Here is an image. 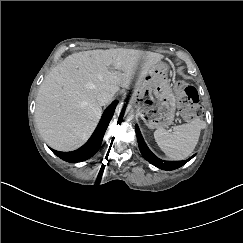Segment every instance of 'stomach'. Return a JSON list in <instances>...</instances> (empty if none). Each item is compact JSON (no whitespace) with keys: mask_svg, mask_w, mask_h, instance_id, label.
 Instances as JSON below:
<instances>
[{"mask_svg":"<svg viewBox=\"0 0 243 243\" xmlns=\"http://www.w3.org/2000/svg\"><path fill=\"white\" fill-rule=\"evenodd\" d=\"M131 102L150 129L165 128L174 120L177 100L167 79V66L155 64L135 87Z\"/></svg>","mask_w":243,"mask_h":243,"instance_id":"stomach-1","label":"stomach"}]
</instances>
